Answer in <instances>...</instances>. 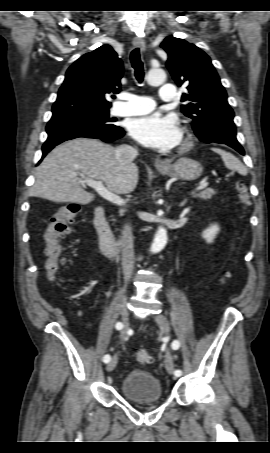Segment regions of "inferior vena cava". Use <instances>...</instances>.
<instances>
[{
  "label": "inferior vena cava",
  "instance_id": "obj_1",
  "mask_svg": "<svg viewBox=\"0 0 270 453\" xmlns=\"http://www.w3.org/2000/svg\"><path fill=\"white\" fill-rule=\"evenodd\" d=\"M138 155V150L129 145H121L115 149L117 161L122 165L132 163ZM122 248V269L126 277H130L134 267V248L132 226L126 223L123 227L122 237L120 240Z\"/></svg>",
  "mask_w": 270,
  "mask_h": 453
}]
</instances>
